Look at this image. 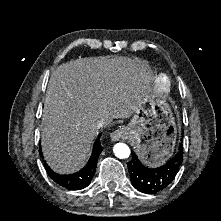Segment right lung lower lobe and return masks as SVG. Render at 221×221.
<instances>
[{"mask_svg": "<svg viewBox=\"0 0 221 221\" xmlns=\"http://www.w3.org/2000/svg\"><path fill=\"white\" fill-rule=\"evenodd\" d=\"M101 134H99L98 138L94 143V148L91 154V157L87 163V165L79 172L70 174V175H59L53 172L49 166L44 162L45 169L49 176L60 186L65 187L71 190H80L89 185L91 182L94 173L97 167V161L99 158L100 153L102 152L103 148L99 142ZM40 155L42 156L41 149Z\"/></svg>", "mask_w": 221, "mask_h": 221, "instance_id": "98d812e1", "label": "right lung lower lobe"}]
</instances>
